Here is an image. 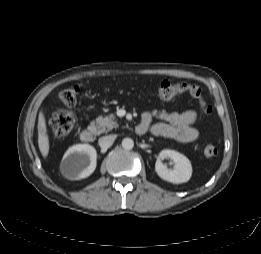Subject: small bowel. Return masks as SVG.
Instances as JSON below:
<instances>
[{"label":"small bowel","mask_w":261,"mask_h":254,"mask_svg":"<svg viewBox=\"0 0 261 254\" xmlns=\"http://www.w3.org/2000/svg\"><path fill=\"white\" fill-rule=\"evenodd\" d=\"M154 119L159 121L152 124ZM198 119V113L190 109L181 113L178 112H146L141 123V133L148 130L155 136L172 138L179 142L189 143L196 141L199 137V131L193 127Z\"/></svg>","instance_id":"1"}]
</instances>
